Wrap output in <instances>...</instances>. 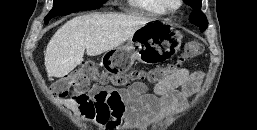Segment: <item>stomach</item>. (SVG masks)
Returning a JSON list of instances; mask_svg holds the SVG:
<instances>
[{
	"label": "stomach",
	"instance_id": "0dacf381",
	"mask_svg": "<svg viewBox=\"0 0 257 130\" xmlns=\"http://www.w3.org/2000/svg\"><path fill=\"white\" fill-rule=\"evenodd\" d=\"M181 39L172 24L151 21L140 27L125 46L105 52L102 64L110 72L123 73L136 59L145 64L160 63L178 52Z\"/></svg>",
	"mask_w": 257,
	"mask_h": 130
}]
</instances>
